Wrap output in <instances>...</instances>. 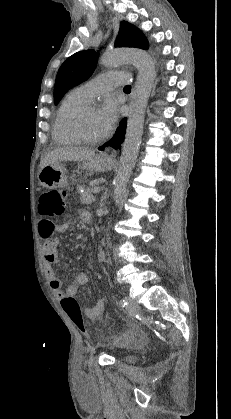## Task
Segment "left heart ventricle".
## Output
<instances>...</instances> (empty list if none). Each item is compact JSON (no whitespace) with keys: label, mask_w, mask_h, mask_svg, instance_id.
<instances>
[{"label":"left heart ventricle","mask_w":231,"mask_h":419,"mask_svg":"<svg viewBox=\"0 0 231 419\" xmlns=\"http://www.w3.org/2000/svg\"><path fill=\"white\" fill-rule=\"evenodd\" d=\"M98 112V109L91 107L87 112L83 122L85 132L92 137L104 135Z\"/></svg>","instance_id":"left-heart-ventricle-1"}]
</instances>
